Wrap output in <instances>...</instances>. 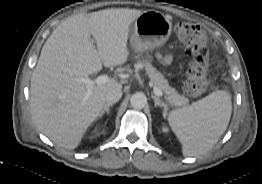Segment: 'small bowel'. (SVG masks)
Wrapping results in <instances>:
<instances>
[{"label": "small bowel", "instance_id": "small-bowel-1", "mask_svg": "<svg viewBox=\"0 0 262 184\" xmlns=\"http://www.w3.org/2000/svg\"><path fill=\"white\" fill-rule=\"evenodd\" d=\"M164 64H170L172 61V58L169 55H162L160 56Z\"/></svg>", "mask_w": 262, "mask_h": 184}]
</instances>
